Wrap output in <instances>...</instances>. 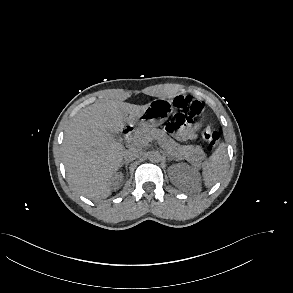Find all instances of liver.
<instances>
[{"mask_svg":"<svg viewBox=\"0 0 293 293\" xmlns=\"http://www.w3.org/2000/svg\"><path fill=\"white\" fill-rule=\"evenodd\" d=\"M147 106L105 100L73 118L65 132L62 153L68 182L77 192L92 200L110 195L111 179L126 150L109 133L122 132Z\"/></svg>","mask_w":293,"mask_h":293,"instance_id":"6515ba94","label":"liver"}]
</instances>
